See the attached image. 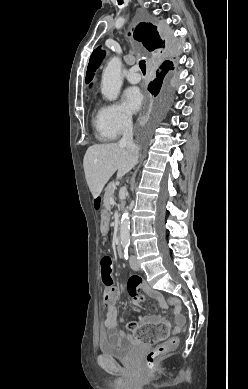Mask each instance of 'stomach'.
<instances>
[{
	"label": "stomach",
	"mask_w": 248,
	"mask_h": 389,
	"mask_svg": "<svg viewBox=\"0 0 248 389\" xmlns=\"http://www.w3.org/2000/svg\"><path fill=\"white\" fill-rule=\"evenodd\" d=\"M109 209L107 207L101 208V220H100V230L99 233L101 235H107L109 233V220L113 218V215L111 213H108Z\"/></svg>",
	"instance_id": "obj_1"
}]
</instances>
